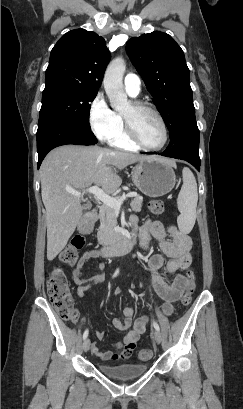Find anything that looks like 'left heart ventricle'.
<instances>
[{"label": "left heart ventricle", "mask_w": 243, "mask_h": 409, "mask_svg": "<svg viewBox=\"0 0 243 409\" xmlns=\"http://www.w3.org/2000/svg\"><path fill=\"white\" fill-rule=\"evenodd\" d=\"M132 123L141 140L150 146H158L163 141V130L158 119L149 111L134 110L130 103L121 111Z\"/></svg>", "instance_id": "obj_1"}]
</instances>
